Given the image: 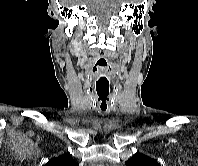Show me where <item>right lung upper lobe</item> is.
<instances>
[{
    "mask_svg": "<svg viewBox=\"0 0 198 166\" xmlns=\"http://www.w3.org/2000/svg\"><path fill=\"white\" fill-rule=\"evenodd\" d=\"M44 166H78V164L69 155H61L49 160Z\"/></svg>",
    "mask_w": 198,
    "mask_h": 166,
    "instance_id": "obj_1",
    "label": "right lung upper lobe"
}]
</instances>
